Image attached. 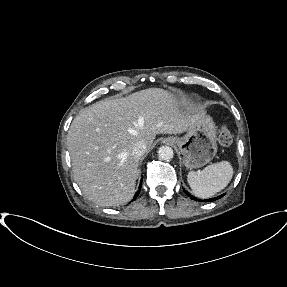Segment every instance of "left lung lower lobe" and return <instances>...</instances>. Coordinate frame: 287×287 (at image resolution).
I'll return each instance as SVG.
<instances>
[{
    "instance_id": "obj_1",
    "label": "left lung lower lobe",
    "mask_w": 287,
    "mask_h": 287,
    "mask_svg": "<svg viewBox=\"0 0 287 287\" xmlns=\"http://www.w3.org/2000/svg\"><path fill=\"white\" fill-rule=\"evenodd\" d=\"M184 192H185V194H186L187 196H189L191 199H193V200H195V201H199V202L202 201V200L197 199L196 197L192 196L191 194H189L186 190H184ZM223 196H224V194H223V195H220V196H218V197H215V198H211V199L205 200V201H215V200H217V199H219V198H221V197H223Z\"/></svg>"
}]
</instances>
